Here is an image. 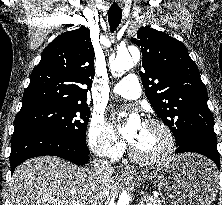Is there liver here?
Here are the masks:
<instances>
[{"label": "liver", "instance_id": "liver-1", "mask_svg": "<svg viewBox=\"0 0 222 205\" xmlns=\"http://www.w3.org/2000/svg\"><path fill=\"white\" fill-rule=\"evenodd\" d=\"M114 171L97 174L59 157L19 165L10 182L11 205H101L116 186Z\"/></svg>", "mask_w": 222, "mask_h": 205}]
</instances>
